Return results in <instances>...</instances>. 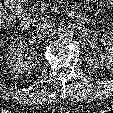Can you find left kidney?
I'll list each match as a JSON object with an SVG mask.
<instances>
[{"instance_id": "obj_1", "label": "left kidney", "mask_w": 113, "mask_h": 113, "mask_svg": "<svg viewBox=\"0 0 113 113\" xmlns=\"http://www.w3.org/2000/svg\"><path fill=\"white\" fill-rule=\"evenodd\" d=\"M107 51L96 58L91 53L85 55L87 64L94 69H113V37L103 35L101 38Z\"/></svg>"}]
</instances>
